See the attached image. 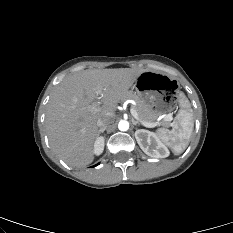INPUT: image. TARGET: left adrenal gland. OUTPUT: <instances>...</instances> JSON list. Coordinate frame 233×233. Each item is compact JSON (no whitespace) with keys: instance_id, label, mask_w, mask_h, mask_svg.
I'll list each match as a JSON object with an SVG mask.
<instances>
[{"instance_id":"a2214340","label":"left adrenal gland","mask_w":233,"mask_h":233,"mask_svg":"<svg viewBox=\"0 0 233 233\" xmlns=\"http://www.w3.org/2000/svg\"><path fill=\"white\" fill-rule=\"evenodd\" d=\"M132 123H133V125H140V123L134 119H132Z\"/></svg>"}]
</instances>
